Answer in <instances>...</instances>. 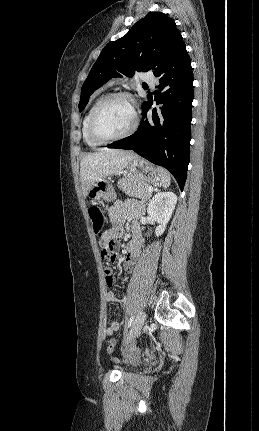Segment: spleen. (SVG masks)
Segmentation results:
<instances>
[{"instance_id":"3e777b00","label":"spleen","mask_w":259,"mask_h":431,"mask_svg":"<svg viewBox=\"0 0 259 431\" xmlns=\"http://www.w3.org/2000/svg\"><path fill=\"white\" fill-rule=\"evenodd\" d=\"M157 171H158L159 176H160V184L164 188H167L170 185V183H171V175H170V173L166 169H164L162 167H157Z\"/></svg>"}]
</instances>
